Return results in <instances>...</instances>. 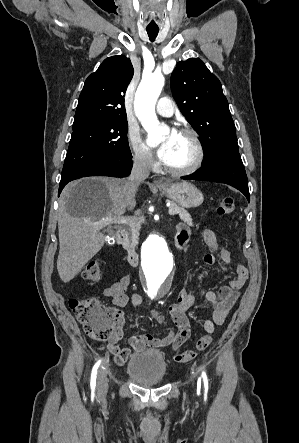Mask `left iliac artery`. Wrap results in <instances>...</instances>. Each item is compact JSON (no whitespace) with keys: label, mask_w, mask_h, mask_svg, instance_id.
I'll use <instances>...</instances> for the list:
<instances>
[{"label":"left iliac artery","mask_w":299,"mask_h":443,"mask_svg":"<svg viewBox=\"0 0 299 443\" xmlns=\"http://www.w3.org/2000/svg\"><path fill=\"white\" fill-rule=\"evenodd\" d=\"M201 376L203 378L204 387L207 390L208 389V379H207L206 372L204 370L202 371V375Z\"/></svg>","instance_id":"left-iliac-artery-1"}]
</instances>
